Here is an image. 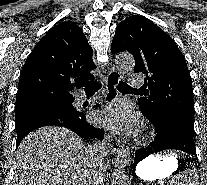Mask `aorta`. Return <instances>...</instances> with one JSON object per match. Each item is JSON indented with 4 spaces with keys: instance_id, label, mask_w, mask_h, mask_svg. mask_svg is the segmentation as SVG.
I'll return each instance as SVG.
<instances>
[{
    "instance_id": "762f6f07",
    "label": "aorta",
    "mask_w": 207,
    "mask_h": 185,
    "mask_svg": "<svg viewBox=\"0 0 207 185\" xmlns=\"http://www.w3.org/2000/svg\"><path fill=\"white\" fill-rule=\"evenodd\" d=\"M116 67L120 73H125L134 68L135 60L131 54L124 53L117 56L115 60ZM131 163L130 152L126 148H122L115 159L112 174V185H129V166Z\"/></svg>"
}]
</instances>
